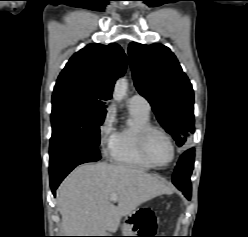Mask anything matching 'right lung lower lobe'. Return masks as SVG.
I'll use <instances>...</instances> for the list:
<instances>
[{
    "label": "right lung lower lobe",
    "mask_w": 248,
    "mask_h": 237,
    "mask_svg": "<svg viewBox=\"0 0 248 237\" xmlns=\"http://www.w3.org/2000/svg\"><path fill=\"white\" fill-rule=\"evenodd\" d=\"M50 186L54 196L61 181L79 164L100 160L96 146L88 143L50 141Z\"/></svg>",
    "instance_id": "right-lung-lower-lobe-1"
}]
</instances>
